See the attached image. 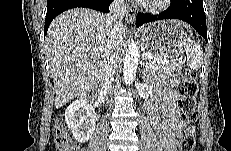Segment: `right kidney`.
Instances as JSON below:
<instances>
[{"mask_svg": "<svg viewBox=\"0 0 231 151\" xmlns=\"http://www.w3.org/2000/svg\"><path fill=\"white\" fill-rule=\"evenodd\" d=\"M65 121L75 140L85 143L95 130L96 113L84 98H79L67 107Z\"/></svg>", "mask_w": 231, "mask_h": 151, "instance_id": "ca27d5eb", "label": "right kidney"}]
</instances>
